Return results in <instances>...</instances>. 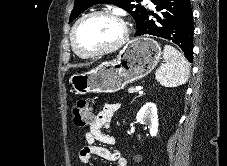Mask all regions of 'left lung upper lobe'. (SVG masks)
I'll use <instances>...</instances> for the list:
<instances>
[{"label":"left lung upper lobe","instance_id":"left-lung-upper-lobe-1","mask_svg":"<svg viewBox=\"0 0 227 166\" xmlns=\"http://www.w3.org/2000/svg\"><path fill=\"white\" fill-rule=\"evenodd\" d=\"M134 0H75L69 22H72L77 16L84 12L87 8L98 3H112L123 8L133 16L136 21L137 29L142 23L147 9L140 5L133 4Z\"/></svg>","mask_w":227,"mask_h":166}]
</instances>
